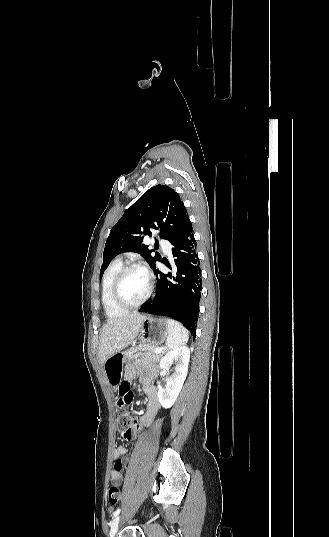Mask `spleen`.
Listing matches in <instances>:
<instances>
[{
    "mask_svg": "<svg viewBox=\"0 0 329 537\" xmlns=\"http://www.w3.org/2000/svg\"><path fill=\"white\" fill-rule=\"evenodd\" d=\"M168 327L169 333L166 340V347L168 349L178 348L187 343L189 333L181 323L173 319H168Z\"/></svg>",
    "mask_w": 329,
    "mask_h": 537,
    "instance_id": "obj_1",
    "label": "spleen"
}]
</instances>
